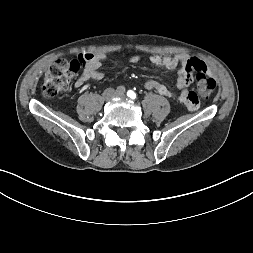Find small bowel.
Returning <instances> with one entry per match:
<instances>
[{
    "label": "small bowel",
    "instance_id": "1",
    "mask_svg": "<svg viewBox=\"0 0 253 253\" xmlns=\"http://www.w3.org/2000/svg\"><path fill=\"white\" fill-rule=\"evenodd\" d=\"M105 59L106 55L104 53L91 54V59L88 61L82 75L76 80L75 86L82 87L89 80L103 79L104 74L99 69ZM189 60L190 59L185 55H176L173 57L153 55L150 57V62L153 65L168 70L179 68L178 78L176 81V86L181 91L179 100L180 102L185 103V106L191 111L198 112L202 109L203 104L200 101V95L197 92L188 90V87L192 82L190 76L191 67L188 64ZM139 61L140 57L137 55L130 58V62L132 64H137ZM144 87L147 90H155L164 97H174L173 92L165 84L155 79L147 80L144 83Z\"/></svg>",
    "mask_w": 253,
    "mask_h": 253
}]
</instances>
